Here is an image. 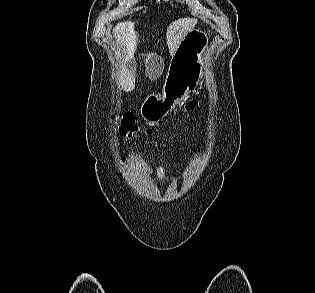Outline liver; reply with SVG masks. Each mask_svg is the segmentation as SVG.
Segmentation results:
<instances>
[{"label":"liver","mask_w":315,"mask_h":293,"mask_svg":"<svg viewBox=\"0 0 315 293\" xmlns=\"http://www.w3.org/2000/svg\"><path fill=\"white\" fill-rule=\"evenodd\" d=\"M197 23L196 19L182 18L172 22L167 27L166 32V43L171 55H173L179 46L181 40L184 38L186 33L194 29ZM114 36L117 44L122 48V73L123 78L121 80V87L125 91L132 90L135 86V79L129 75L128 72L124 71L125 63L134 57L137 49V33L134 29V23L131 21L121 22L114 28ZM152 54H148L150 58Z\"/></svg>","instance_id":"1"}]
</instances>
